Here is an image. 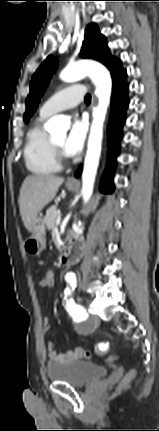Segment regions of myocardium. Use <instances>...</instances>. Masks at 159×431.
I'll return each mask as SVG.
<instances>
[{
  "instance_id": "f54148a6",
  "label": "myocardium",
  "mask_w": 159,
  "mask_h": 431,
  "mask_svg": "<svg viewBox=\"0 0 159 431\" xmlns=\"http://www.w3.org/2000/svg\"><path fill=\"white\" fill-rule=\"evenodd\" d=\"M51 143H52V146L54 149V153H55V157L57 159V162L59 164L65 162L67 160V155L62 150V147L59 146L58 144H56L53 140H51Z\"/></svg>"
}]
</instances>
